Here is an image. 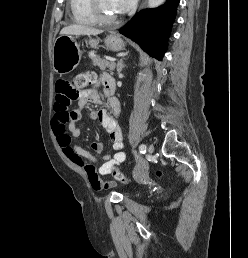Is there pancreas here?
<instances>
[{
    "mask_svg": "<svg viewBox=\"0 0 248 258\" xmlns=\"http://www.w3.org/2000/svg\"><path fill=\"white\" fill-rule=\"evenodd\" d=\"M89 57L92 60L93 65L98 66L100 69L109 68L110 70H113L115 68L114 62L101 59L99 56L95 55L94 51L89 52Z\"/></svg>",
    "mask_w": 248,
    "mask_h": 258,
    "instance_id": "cf45deb5",
    "label": "pancreas"
}]
</instances>
